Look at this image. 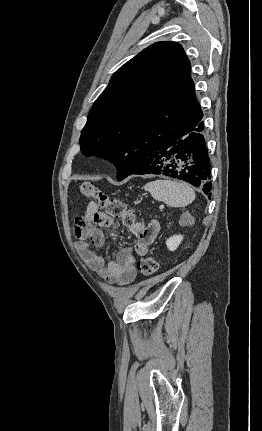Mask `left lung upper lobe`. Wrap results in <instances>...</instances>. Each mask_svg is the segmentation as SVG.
<instances>
[{"mask_svg": "<svg viewBox=\"0 0 262 431\" xmlns=\"http://www.w3.org/2000/svg\"><path fill=\"white\" fill-rule=\"evenodd\" d=\"M190 62L175 42H158L125 63L89 112L80 136L83 155L114 163L117 179L161 141L203 113Z\"/></svg>", "mask_w": 262, "mask_h": 431, "instance_id": "1", "label": "left lung upper lobe"}]
</instances>
